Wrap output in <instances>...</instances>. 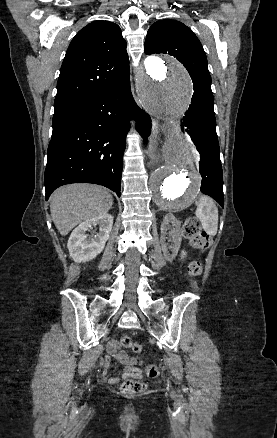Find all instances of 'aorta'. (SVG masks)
I'll return each instance as SVG.
<instances>
[{"label":"aorta","mask_w":277,"mask_h":438,"mask_svg":"<svg viewBox=\"0 0 277 438\" xmlns=\"http://www.w3.org/2000/svg\"><path fill=\"white\" fill-rule=\"evenodd\" d=\"M138 100L152 116L162 120L164 163L150 177V191L162 210L187 208L199 192L201 177L193 146L178 124L190 101L191 83L185 68L170 57L151 56L138 70Z\"/></svg>","instance_id":"obj_1"}]
</instances>
